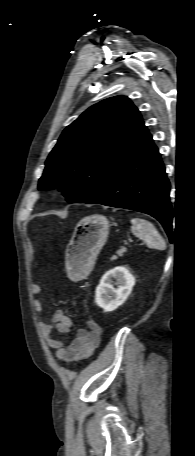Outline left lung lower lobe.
Wrapping results in <instances>:
<instances>
[{"label": "left lung lower lobe", "mask_w": 195, "mask_h": 456, "mask_svg": "<svg viewBox=\"0 0 195 456\" xmlns=\"http://www.w3.org/2000/svg\"><path fill=\"white\" fill-rule=\"evenodd\" d=\"M170 183L151 134L143 124L103 185L84 203L131 209L149 214L172 229Z\"/></svg>", "instance_id": "left-lung-lower-lobe-1"}]
</instances>
